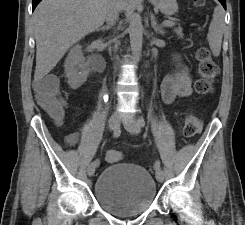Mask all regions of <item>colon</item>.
I'll return each instance as SVG.
<instances>
[{
	"instance_id": "5ec220e1",
	"label": "colon",
	"mask_w": 245,
	"mask_h": 225,
	"mask_svg": "<svg viewBox=\"0 0 245 225\" xmlns=\"http://www.w3.org/2000/svg\"><path fill=\"white\" fill-rule=\"evenodd\" d=\"M197 5H202L203 0H195ZM196 62L200 78L196 82V91L199 94H209L214 90V83L218 76V67L206 47H199L196 51ZM37 100L53 114H61L65 109V104L59 95V83L57 80H48L40 85L37 90ZM202 121L189 114L185 118L183 136L191 138L200 133Z\"/></svg>"
}]
</instances>
